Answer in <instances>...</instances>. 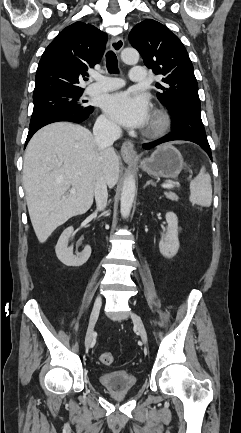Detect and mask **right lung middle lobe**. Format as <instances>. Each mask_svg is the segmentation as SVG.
<instances>
[{
  "label": "right lung middle lobe",
  "mask_w": 241,
  "mask_h": 433,
  "mask_svg": "<svg viewBox=\"0 0 241 433\" xmlns=\"http://www.w3.org/2000/svg\"><path fill=\"white\" fill-rule=\"evenodd\" d=\"M81 94L82 91H56L33 97L34 109L29 128L56 114L88 112L92 106L79 100Z\"/></svg>",
  "instance_id": "right-lung-middle-lobe-1"
}]
</instances>
